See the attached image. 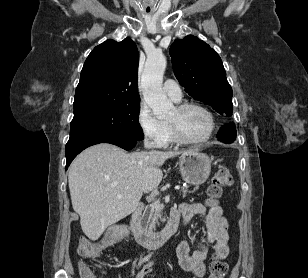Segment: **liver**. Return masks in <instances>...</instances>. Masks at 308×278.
Instances as JSON below:
<instances>
[{
	"label": "liver",
	"mask_w": 308,
	"mask_h": 278,
	"mask_svg": "<svg viewBox=\"0 0 308 278\" xmlns=\"http://www.w3.org/2000/svg\"><path fill=\"white\" fill-rule=\"evenodd\" d=\"M181 151H139L101 143L80 153L72 162L68 183L73 209L84 234L97 240L105 229L130 215L143 193L162 180L160 167ZM121 194V198L117 195Z\"/></svg>",
	"instance_id": "liver-1"
}]
</instances>
